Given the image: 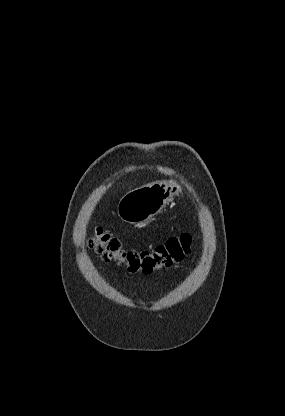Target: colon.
<instances>
[{"label":"colon","mask_w":285,"mask_h":416,"mask_svg":"<svg viewBox=\"0 0 285 416\" xmlns=\"http://www.w3.org/2000/svg\"><path fill=\"white\" fill-rule=\"evenodd\" d=\"M89 245L106 262H117L132 274H151L181 262L191 251L192 237L186 233L171 237L150 250H125L118 238L99 227L90 237Z\"/></svg>","instance_id":"1"}]
</instances>
